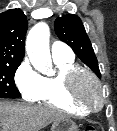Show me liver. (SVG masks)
<instances>
[{
  "mask_svg": "<svg viewBox=\"0 0 117 131\" xmlns=\"http://www.w3.org/2000/svg\"><path fill=\"white\" fill-rule=\"evenodd\" d=\"M63 118L66 115L53 107L0 101V131H39Z\"/></svg>",
  "mask_w": 117,
  "mask_h": 131,
  "instance_id": "obj_1",
  "label": "liver"
}]
</instances>
